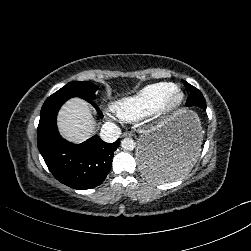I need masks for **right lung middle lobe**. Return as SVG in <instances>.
Returning a JSON list of instances; mask_svg holds the SVG:
<instances>
[{"label": "right lung middle lobe", "instance_id": "1", "mask_svg": "<svg viewBox=\"0 0 251 251\" xmlns=\"http://www.w3.org/2000/svg\"><path fill=\"white\" fill-rule=\"evenodd\" d=\"M98 90V86L94 85L88 81H75L70 82L57 92L52 94L49 99H69L72 97H80L85 99L86 101L90 102L93 101L96 96L95 92Z\"/></svg>", "mask_w": 251, "mask_h": 251}]
</instances>
